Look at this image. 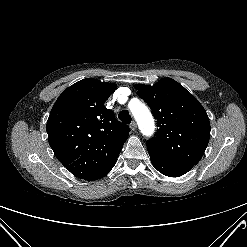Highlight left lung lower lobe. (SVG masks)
I'll use <instances>...</instances> for the list:
<instances>
[{
	"label": "left lung lower lobe",
	"instance_id": "1",
	"mask_svg": "<svg viewBox=\"0 0 247 247\" xmlns=\"http://www.w3.org/2000/svg\"><path fill=\"white\" fill-rule=\"evenodd\" d=\"M149 152L153 166L162 174L169 177H179L192 169L193 165L167 159L157 153Z\"/></svg>",
	"mask_w": 247,
	"mask_h": 247
}]
</instances>
